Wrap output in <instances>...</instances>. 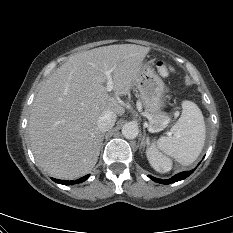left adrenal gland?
Instances as JSON below:
<instances>
[{"label":"left adrenal gland","instance_id":"obj_1","mask_svg":"<svg viewBox=\"0 0 233 233\" xmlns=\"http://www.w3.org/2000/svg\"><path fill=\"white\" fill-rule=\"evenodd\" d=\"M140 148H143V149L145 148V133H144Z\"/></svg>","mask_w":233,"mask_h":233}]
</instances>
